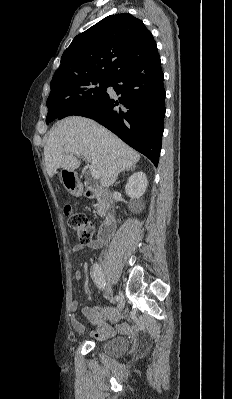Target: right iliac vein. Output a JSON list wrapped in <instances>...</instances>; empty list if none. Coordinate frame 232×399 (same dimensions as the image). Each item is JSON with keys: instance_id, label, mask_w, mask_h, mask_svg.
Returning a JSON list of instances; mask_svg holds the SVG:
<instances>
[{"instance_id": "1", "label": "right iliac vein", "mask_w": 232, "mask_h": 399, "mask_svg": "<svg viewBox=\"0 0 232 399\" xmlns=\"http://www.w3.org/2000/svg\"><path fill=\"white\" fill-rule=\"evenodd\" d=\"M118 296H119L120 300H119L118 305H117V310H124V307L126 305V300H125V298L123 296L122 291H119Z\"/></svg>"}]
</instances>
